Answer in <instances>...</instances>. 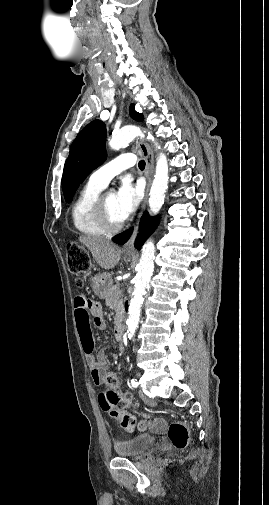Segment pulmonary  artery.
Wrapping results in <instances>:
<instances>
[{"instance_id": "pulmonary-artery-1", "label": "pulmonary artery", "mask_w": 269, "mask_h": 505, "mask_svg": "<svg viewBox=\"0 0 269 505\" xmlns=\"http://www.w3.org/2000/svg\"><path fill=\"white\" fill-rule=\"evenodd\" d=\"M133 154H122L107 162L95 170L89 177V181L102 188L106 187L110 180L135 164Z\"/></svg>"}]
</instances>
